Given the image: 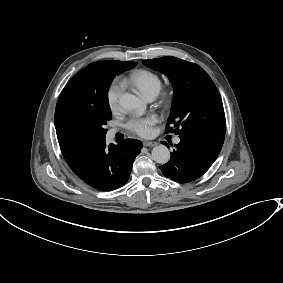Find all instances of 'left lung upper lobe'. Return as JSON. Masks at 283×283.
Segmentation results:
<instances>
[{
  "label": "left lung upper lobe",
  "instance_id": "1",
  "mask_svg": "<svg viewBox=\"0 0 283 283\" xmlns=\"http://www.w3.org/2000/svg\"><path fill=\"white\" fill-rule=\"evenodd\" d=\"M143 63L164 73L174 87L169 124L175 134L223 143L225 114L218 89L209 75L197 64L166 56L143 60ZM167 131H173L167 126Z\"/></svg>",
  "mask_w": 283,
  "mask_h": 283
}]
</instances>
